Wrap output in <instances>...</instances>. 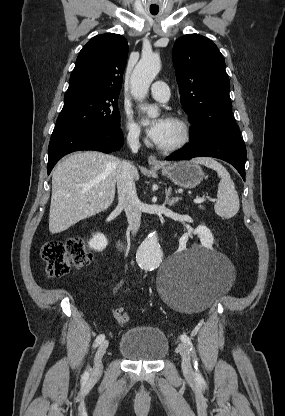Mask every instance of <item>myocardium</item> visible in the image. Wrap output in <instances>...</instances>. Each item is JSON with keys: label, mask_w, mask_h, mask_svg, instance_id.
Wrapping results in <instances>:
<instances>
[{"label": "myocardium", "mask_w": 285, "mask_h": 416, "mask_svg": "<svg viewBox=\"0 0 285 416\" xmlns=\"http://www.w3.org/2000/svg\"><path fill=\"white\" fill-rule=\"evenodd\" d=\"M170 121L179 132L178 139L169 146H159L160 151L165 153H173L183 149L190 140V130L185 121L178 117H171Z\"/></svg>", "instance_id": "myocardium-1"}]
</instances>
